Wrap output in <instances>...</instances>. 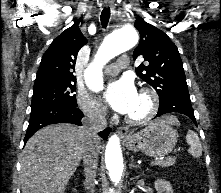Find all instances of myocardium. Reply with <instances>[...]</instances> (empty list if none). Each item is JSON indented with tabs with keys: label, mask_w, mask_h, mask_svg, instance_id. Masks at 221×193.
Instances as JSON below:
<instances>
[{
	"label": "myocardium",
	"mask_w": 221,
	"mask_h": 193,
	"mask_svg": "<svg viewBox=\"0 0 221 193\" xmlns=\"http://www.w3.org/2000/svg\"><path fill=\"white\" fill-rule=\"evenodd\" d=\"M140 95L148 101V108L144 114L138 117L126 116L125 121L130 125H142L150 121L157 113L159 99L157 93L149 87H143L140 90Z\"/></svg>",
	"instance_id": "1"
}]
</instances>
